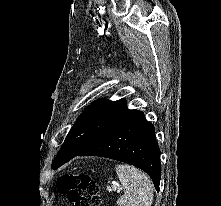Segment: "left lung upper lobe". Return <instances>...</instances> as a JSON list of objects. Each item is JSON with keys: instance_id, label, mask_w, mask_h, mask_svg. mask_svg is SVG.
<instances>
[{"instance_id": "left-lung-upper-lobe-1", "label": "left lung upper lobe", "mask_w": 221, "mask_h": 206, "mask_svg": "<svg viewBox=\"0 0 221 206\" xmlns=\"http://www.w3.org/2000/svg\"><path fill=\"white\" fill-rule=\"evenodd\" d=\"M126 109V101L124 100L99 99L87 106L69 131L52 167L58 168L70 160L101 134Z\"/></svg>"}]
</instances>
